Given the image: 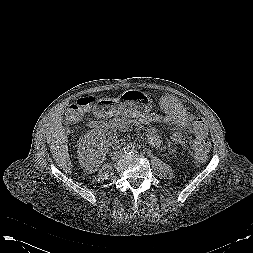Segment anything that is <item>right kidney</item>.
Returning a JSON list of instances; mask_svg holds the SVG:
<instances>
[{
  "mask_svg": "<svg viewBox=\"0 0 253 253\" xmlns=\"http://www.w3.org/2000/svg\"><path fill=\"white\" fill-rule=\"evenodd\" d=\"M108 140L105 132L97 129L88 131L78 143V160L80 166L88 173L96 171L105 159Z\"/></svg>",
  "mask_w": 253,
  "mask_h": 253,
  "instance_id": "ca27d5eb",
  "label": "right kidney"
}]
</instances>
